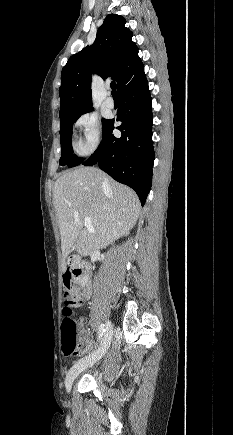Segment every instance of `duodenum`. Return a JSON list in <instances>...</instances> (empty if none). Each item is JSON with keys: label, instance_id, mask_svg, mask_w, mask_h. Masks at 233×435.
Masks as SVG:
<instances>
[{"label": "duodenum", "instance_id": "410a0bca", "mask_svg": "<svg viewBox=\"0 0 233 435\" xmlns=\"http://www.w3.org/2000/svg\"><path fill=\"white\" fill-rule=\"evenodd\" d=\"M88 269L86 262L79 255H74L71 261V271L74 275L81 276Z\"/></svg>", "mask_w": 233, "mask_h": 435}]
</instances>
